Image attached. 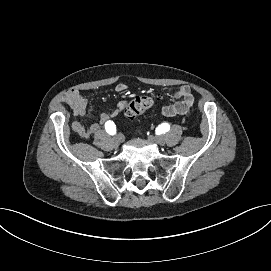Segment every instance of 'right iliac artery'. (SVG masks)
Returning <instances> with one entry per match:
<instances>
[{"instance_id":"1","label":"right iliac artery","mask_w":271,"mask_h":271,"mask_svg":"<svg viewBox=\"0 0 271 271\" xmlns=\"http://www.w3.org/2000/svg\"><path fill=\"white\" fill-rule=\"evenodd\" d=\"M105 129H106V132L110 135H114L116 134V125L114 124L113 121H107L105 123Z\"/></svg>"}]
</instances>
